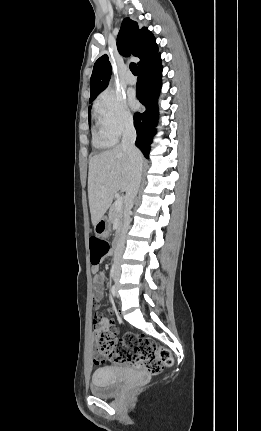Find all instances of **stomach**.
<instances>
[{
  "label": "stomach",
  "instance_id": "1",
  "mask_svg": "<svg viewBox=\"0 0 261 431\" xmlns=\"http://www.w3.org/2000/svg\"><path fill=\"white\" fill-rule=\"evenodd\" d=\"M110 230L111 223L106 217H103L94 225V232L100 237H107L110 233Z\"/></svg>",
  "mask_w": 261,
  "mask_h": 431
}]
</instances>
